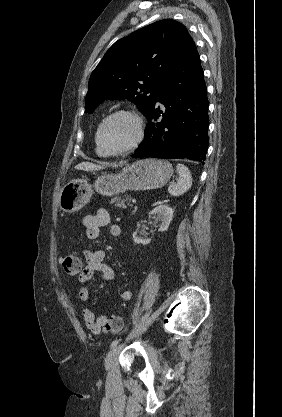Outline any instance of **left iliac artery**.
I'll return each mask as SVG.
<instances>
[{"instance_id": "1", "label": "left iliac artery", "mask_w": 282, "mask_h": 417, "mask_svg": "<svg viewBox=\"0 0 282 417\" xmlns=\"http://www.w3.org/2000/svg\"><path fill=\"white\" fill-rule=\"evenodd\" d=\"M118 342H119V340H114V341L111 343V348H114L115 346H117Z\"/></svg>"}]
</instances>
